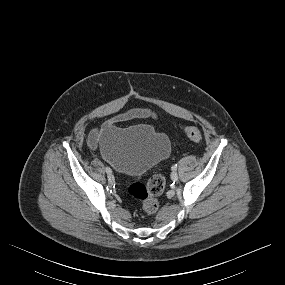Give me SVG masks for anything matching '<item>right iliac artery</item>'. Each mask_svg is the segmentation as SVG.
<instances>
[{
    "instance_id": "obj_1",
    "label": "right iliac artery",
    "mask_w": 285,
    "mask_h": 285,
    "mask_svg": "<svg viewBox=\"0 0 285 285\" xmlns=\"http://www.w3.org/2000/svg\"><path fill=\"white\" fill-rule=\"evenodd\" d=\"M105 170L108 174L112 172V170L109 167H106Z\"/></svg>"
}]
</instances>
